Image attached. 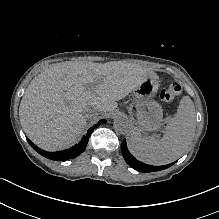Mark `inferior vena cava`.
Here are the masks:
<instances>
[{"label": "inferior vena cava", "instance_id": "1", "mask_svg": "<svg viewBox=\"0 0 219 219\" xmlns=\"http://www.w3.org/2000/svg\"><path fill=\"white\" fill-rule=\"evenodd\" d=\"M85 119L88 124L94 125L99 122L100 116L97 111L91 110L86 113Z\"/></svg>", "mask_w": 219, "mask_h": 219}]
</instances>
